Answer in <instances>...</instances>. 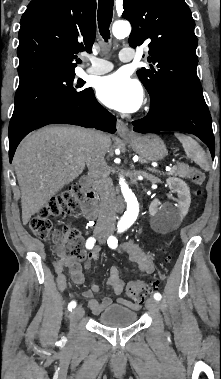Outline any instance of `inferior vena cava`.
Wrapping results in <instances>:
<instances>
[{
  "label": "inferior vena cava",
  "mask_w": 221,
  "mask_h": 379,
  "mask_svg": "<svg viewBox=\"0 0 221 379\" xmlns=\"http://www.w3.org/2000/svg\"><path fill=\"white\" fill-rule=\"evenodd\" d=\"M100 133L89 130L87 132L86 165L88 174L95 182L100 194V213L97 220L99 229L114 230L116 223V194L104 154L99 144Z\"/></svg>",
  "instance_id": "1"
}]
</instances>
